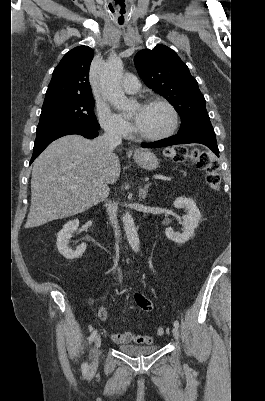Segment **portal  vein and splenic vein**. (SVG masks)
Listing matches in <instances>:
<instances>
[{
    "instance_id": "1",
    "label": "portal vein and splenic vein",
    "mask_w": 265,
    "mask_h": 401,
    "mask_svg": "<svg viewBox=\"0 0 265 401\" xmlns=\"http://www.w3.org/2000/svg\"><path fill=\"white\" fill-rule=\"evenodd\" d=\"M154 178L156 181H170V180H174V177H170V176H166L165 174H160L158 175H154ZM72 188H78L77 184H74V186H72Z\"/></svg>"
}]
</instances>
